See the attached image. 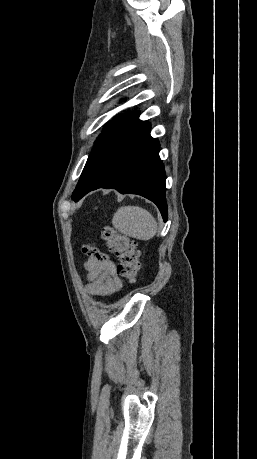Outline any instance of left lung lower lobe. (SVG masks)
I'll use <instances>...</instances> for the list:
<instances>
[{
	"label": "left lung lower lobe",
	"instance_id": "1",
	"mask_svg": "<svg viewBox=\"0 0 257 459\" xmlns=\"http://www.w3.org/2000/svg\"><path fill=\"white\" fill-rule=\"evenodd\" d=\"M132 113L118 120L106 133L100 166L87 190L114 188L122 194H138L153 201L167 220L165 171L159 143L150 136V124Z\"/></svg>",
	"mask_w": 257,
	"mask_h": 459
}]
</instances>
